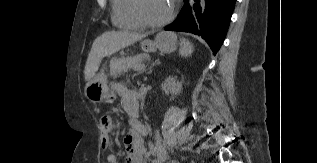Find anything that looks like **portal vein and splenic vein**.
<instances>
[{
    "mask_svg": "<svg viewBox=\"0 0 317 163\" xmlns=\"http://www.w3.org/2000/svg\"><path fill=\"white\" fill-rule=\"evenodd\" d=\"M144 68V65L142 64V65H137V66H135V70H141V69H143Z\"/></svg>",
    "mask_w": 317,
    "mask_h": 163,
    "instance_id": "1",
    "label": "portal vein and splenic vein"
}]
</instances>
